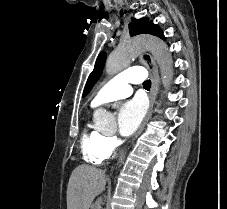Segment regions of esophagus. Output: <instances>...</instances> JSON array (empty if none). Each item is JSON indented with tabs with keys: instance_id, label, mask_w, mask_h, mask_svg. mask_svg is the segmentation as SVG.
<instances>
[{
	"instance_id": "esophagus-1",
	"label": "esophagus",
	"mask_w": 227,
	"mask_h": 209,
	"mask_svg": "<svg viewBox=\"0 0 227 209\" xmlns=\"http://www.w3.org/2000/svg\"><path fill=\"white\" fill-rule=\"evenodd\" d=\"M140 62L144 65L150 74L152 81L151 91H150V108L153 107V104L156 102V97L159 89V72L155 60L153 57L147 53L143 52L139 56Z\"/></svg>"
}]
</instances>
